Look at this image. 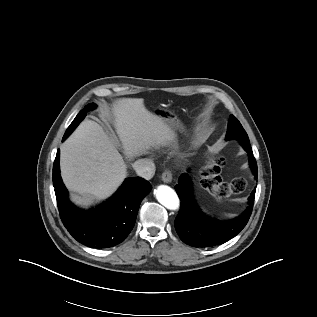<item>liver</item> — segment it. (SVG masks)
Returning a JSON list of instances; mask_svg holds the SVG:
<instances>
[{
	"mask_svg": "<svg viewBox=\"0 0 317 317\" xmlns=\"http://www.w3.org/2000/svg\"><path fill=\"white\" fill-rule=\"evenodd\" d=\"M111 116L128 158L145 154L153 146L176 144L165 121L150 112L142 98L114 101ZM60 149L62 179L76 193L72 196L76 203L106 199L127 176V165L114 139L94 121H83Z\"/></svg>",
	"mask_w": 317,
	"mask_h": 317,
	"instance_id": "obj_1",
	"label": "liver"
}]
</instances>
